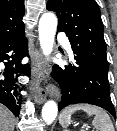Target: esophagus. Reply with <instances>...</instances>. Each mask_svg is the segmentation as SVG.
<instances>
[{"mask_svg": "<svg viewBox=\"0 0 117 131\" xmlns=\"http://www.w3.org/2000/svg\"><path fill=\"white\" fill-rule=\"evenodd\" d=\"M33 72L36 82L39 83H48L49 72L46 66L42 61V54L40 51H35L33 58ZM56 94L57 90L53 85L47 84V86L40 87L38 85L36 89L35 101L37 103H43L46 100L47 94Z\"/></svg>", "mask_w": 117, "mask_h": 131, "instance_id": "obj_1", "label": "esophagus"}]
</instances>
